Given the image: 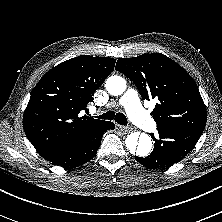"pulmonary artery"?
Instances as JSON below:
<instances>
[{
	"label": "pulmonary artery",
	"mask_w": 222,
	"mask_h": 222,
	"mask_svg": "<svg viewBox=\"0 0 222 222\" xmlns=\"http://www.w3.org/2000/svg\"><path fill=\"white\" fill-rule=\"evenodd\" d=\"M120 104L125 107L130 119L141 129L154 131L157 128L155 120L141 107L135 90L128 89L121 97Z\"/></svg>",
	"instance_id": "obj_1"
}]
</instances>
